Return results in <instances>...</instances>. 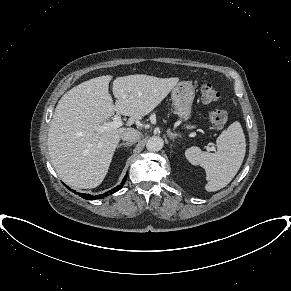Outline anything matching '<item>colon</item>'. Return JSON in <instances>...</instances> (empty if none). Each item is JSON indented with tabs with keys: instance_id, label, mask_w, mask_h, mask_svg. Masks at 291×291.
Returning <instances> with one entry per match:
<instances>
[{
	"instance_id": "1",
	"label": "colon",
	"mask_w": 291,
	"mask_h": 291,
	"mask_svg": "<svg viewBox=\"0 0 291 291\" xmlns=\"http://www.w3.org/2000/svg\"><path fill=\"white\" fill-rule=\"evenodd\" d=\"M201 99L204 103H215L220 99V93L209 83L203 84L200 89ZM209 120L216 128H222L228 121L226 111L215 109L210 112Z\"/></svg>"
}]
</instances>
